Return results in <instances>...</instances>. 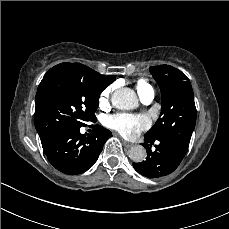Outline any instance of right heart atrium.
<instances>
[{"instance_id":"right-heart-atrium-1","label":"right heart atrium","mask_w":229,"mask_h":229,"mask_svg":"<svg viewBox=\"0 0 229 229\" xmlns=\"http://www.w3.org/2000/svg\"><path fill=\"white\" fill-rule=\"evenodd\" d=\"M112 92H113L112 86H108L101 91L98 98V104L101 108L107 107L109 105Z\"/></svg>"}]
</instances>
